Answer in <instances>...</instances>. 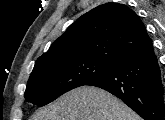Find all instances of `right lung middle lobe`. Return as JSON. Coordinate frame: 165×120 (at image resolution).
Wrapping results in <instances>:
<instances>
[{
	"label": "right lung middle lobe",
	"instance_id": "1",
	"mask_svg": "<svg viewBox=\"0 0 165 120\" xmlns=\"http://www.w3.org/2000/svg\"><path fill=\"white\" fill-rule=\"evenodd\" d=\"M117 64L71 58L36 65L27 82L25 99L38 106L46 105L62 94L106 75Z\"/></svg>",
	"mask_w": 165,
	"mask_h": 120
}]
</instances>
